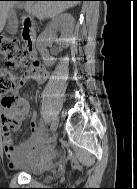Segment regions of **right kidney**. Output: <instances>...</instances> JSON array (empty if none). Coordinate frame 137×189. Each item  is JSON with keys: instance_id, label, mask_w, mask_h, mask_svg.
<instances>
[{"instance_id": "right-kidney-1", "label": "right kidney", "mask_w": 137, "mask_h": 189, "mask_svg": "<svg viewBox=\"0 0 137 189\" xmlns=\"http://www.w3.org/2000/svg\"><path fill=\"white\" fill-rule=\"evenodd\" d=\"M73 22L74 19L70 14H61L58 17L54 18L49 26L46 28V30L38 37L36 45L45 65L52 66L55 63V59L49 57L46 53L45 44L52 39L53 35L56 33L57 30H62L65 28H69L71 30L73 28ZM69 41V38L67 36H64L60 38L57 42L62 47H67L69 45Z\"/></svg>"}]
</instances>
